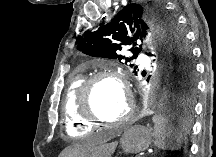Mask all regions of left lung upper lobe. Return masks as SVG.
<instances>
[{
    "label": "left lung upper lobe",
    "mask_w": 216,
    "mask_h": 157,
    "mask_svg": "<svg viewBox=\"0 0 216 157\" xmlns=\"http://www.w3.org/2000/svg\"><path fill=\"white\" fill-rule=\"evenodd\" d=\"M124 46L133 54L131 58L119 55ZM77 49L90 56L127 62L145 50L146 55L157 58L165 80L172 79L178 89L196 81L185 36L176 20L159 5H126L108 24L81 39Z\"/></svg>",
    "instance_id": "obj_1"
}]
</instances>
